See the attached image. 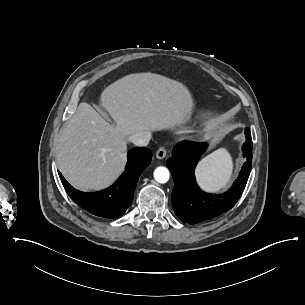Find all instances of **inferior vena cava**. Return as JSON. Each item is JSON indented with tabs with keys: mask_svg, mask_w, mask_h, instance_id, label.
I'll list each match as a JSON object with an SVG mask.
<instances>
[{
	"mask_svg": "<svg viewBox=\"0 0 305 305\" xmlns=\"http://www.w3.org/2000/svg\"><path fill=\"white\" fill-rule=\"evenodd\" d=\"M151 139V133L142 131L130 136L129 140L136 146H147Z\"/></svg>",
	"mask_w": 305,
	"mask_h": 305,
	"instance_id": "obj_1",
	"label": "inferior vena cava"
}]
</instances>
